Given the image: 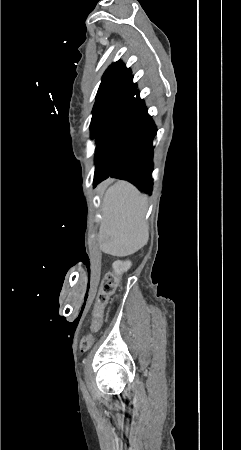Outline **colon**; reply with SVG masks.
<instances>
[{
    "mask_svg": "<svg viewBox=\"0 0 241 450\" xmlns=\"http://www.w3.org/2000/svg\"><path fill=\"white\" fill-rule=\"evenodd\" d=\"M118 286V277L114 272H108L102 279V286L100 288V292L98 295L97 302L92 308V325L93 326H102L103 325V317L106 312V307L103 302L107 305L109 298L114 293ZM93 338L90 334H87L83 337L81 341L82 348L80 352L85 354L87 350L92 347Z\"/></svg>",
    "mask_w": 241,
    "mask_h": 450,
    "instance_id": "colon-1",
    "label": "colon"
}]
</instances>
